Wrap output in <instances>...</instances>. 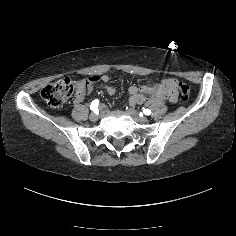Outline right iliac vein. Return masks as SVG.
<instances>
[{
  "label": "right iliac vein",
  "mask_w": 236,
  "mask_h": 236,
  "mask_svg": "<svg viewBox=\"0 0 236 236\" xmlns=\"http://www.w3.org/2000/svg\"><path fill=\"white\" fill-rule=\"evenodd\" d=\"M89 119H90L92 122L97 121V120H98V114H96V113H91Z\"/></svg>",
  "instance_id": "1"
}]
</instances>
